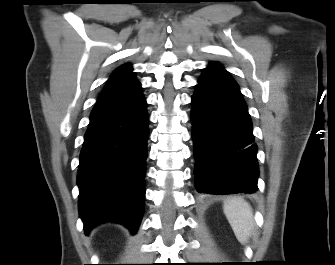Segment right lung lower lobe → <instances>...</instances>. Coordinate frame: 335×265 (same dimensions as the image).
<instances>
[{"label": "right lung lower lobe", "mask_w": 335, "mask_h": 265, "mask_svg": "<svg viewBox=\"0 0 335 265\" xmlns=\"http://www.w3.org/2000/svg\"><path fill=\"white\" fill-rule=\"evenodd\" d=\"M148 135L141 91L95 104L77 176L79 213L86 234L107 220L136 233L144 211Z\"/></svg>", "instance_id": "obj_1"}]
</instances>
